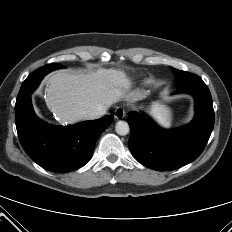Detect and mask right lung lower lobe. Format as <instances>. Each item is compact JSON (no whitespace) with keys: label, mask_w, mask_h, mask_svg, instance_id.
<instances>
[{"label":"right lung lower lobe","mask_w":232,"mask_h":232,"mask_svg":"<svg viewBox=\"0 0 232 232\" xmlns=\"http://www.w3.org/2000/svg\"><path fill=\"white\" fill-rule=\"evenodd\" d=\"M40 80L22 83L16 99L15 121L25 152L41 167L66 173L91 158L100 134L113 122L112 115L72 126H52L34 114L30 95Z\"/></svg>","instance_id":"98d812e1"}]
</instances>
